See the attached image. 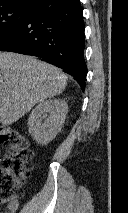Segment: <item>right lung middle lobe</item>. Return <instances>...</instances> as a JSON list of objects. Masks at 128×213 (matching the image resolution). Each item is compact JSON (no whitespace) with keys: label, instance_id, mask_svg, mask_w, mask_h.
<instances>
[{"label":"right lung middle lobe","instance_id":"dd1d6c3e","mask_svg":"<svg viewBox=\"0 0 128 213\" xmlns=\"http://www.w3.org/2000/svg\"><path fill=\"white\" fill-rule=\"evenodd\" d=\"M30 9L16 5L0 7V41L22 25Z\"/></svg>","mask_w":128,"mask_h":213}]
</instances>
